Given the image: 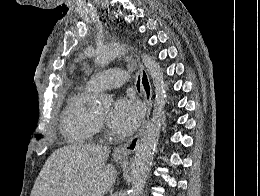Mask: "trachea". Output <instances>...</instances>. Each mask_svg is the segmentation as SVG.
<instances>
[{
	"instance_id": "3493384b",
	"label": "trachea",
	"mask_w": 260,
	"mask_h": 196,
	"mask_svg": "<svg viewBox=\"0 0 260 196\" xmlns=\"http://www.w3.org/2000/svg\"><path fill=\"white\" fill-rule=\"evenodd\" d=\"M137 88L140 89V77L138 78V81H137Z\"/></svg>"
}]
</instances>
